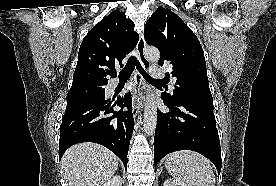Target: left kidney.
<instances>
[{
    "mask_svg": "<svg viewBox=\"0 0 276 186\" xmlns=\"http://www.w3.org/2000/svg\"><path fill=\"white\" fill-rule=\"evenodd\" d=\"M163 186H186V184L176 179H167Z\"/></svg>",
    "mask_w": 276,
    "mask_h": 186,
    "instance_id": "obj_1",
    "label": "left kidney"
}]
</instances>
